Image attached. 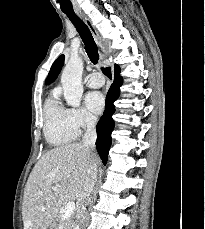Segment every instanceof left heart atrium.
<instances>
[{
  "label": "left heart atrium",
  "instance_id": "1",
  "mask_svg": "<svg viewBox=\"0 0 205 229\" xmlns=\"http://www.w3.org/2000/svg\"><path fill=\"white\" fill-rule=\"evenodd\" d=\"M87 108L94 114H100L105 107V100L101 93L90 92L85 99Z\"/></svg>",
  "mask_w": 205,
  "mask_h": 229
}]
</instances>
